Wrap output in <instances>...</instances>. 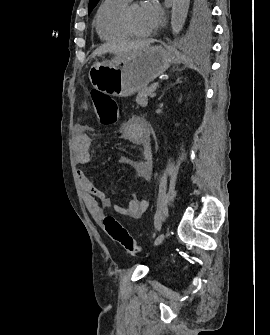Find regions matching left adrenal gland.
I'll use <instances>...</instances> for the list:
<instances>
[{
	"instance_id": "left-adrenal-gland-1",
	"label": "left adrenal gland",
	"mask_w": 270,
	"mask_h": 335,
	"mask_svg": "<svg viewBox=\"0 0 270 335\" xmlns=\"http://www.w3.org/2000/svg\"><path fill=\"white\" fill-rule=\"evenodd\" d=\"M175 84H181V78H177ZM175 84H173V86H175Z\"/></svg>"
}]
</instances>
